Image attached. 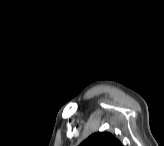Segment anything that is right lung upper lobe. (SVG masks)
I'll use <instances>...</instances> for the list:
<instances>
[{
    "mask_svg": "<svg viewBox=\"0 0 164 146\" xmlns=\"http://www.w3.org/2000/svg\"><path fill=\"white\" fill-rule=\"evenodd\" d=\"M81 146H121V143L116 139L112 134L103 132V133H94L84 140Z\"/></svg>",
    "mask_w": 164,
    "mask_h": 146,
    "instance_id": "1",
    "label": "right lung upper lobe"
}]
</instances>
